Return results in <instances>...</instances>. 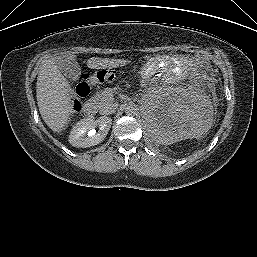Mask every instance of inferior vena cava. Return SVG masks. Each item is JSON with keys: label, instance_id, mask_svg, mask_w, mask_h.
Listing matches in <instances>:
<instances>
[{"label": "inferior vena cava", "instance_id": "obj_1", "mask_svg": "<svg viewBox=\"0 0 257 257\" xmlns=\"http://www.w3.org/2000/svg\"><path fill=\"white\" fill-rule=\"evenodd\" d=\"M117 108H118L117 103L109 102L101 109V114L102 115L113 114L117 110Z\"/></svg>", "mask_w": 257, "mask_h": 257}]
</instances>
